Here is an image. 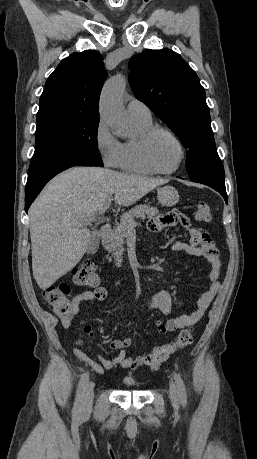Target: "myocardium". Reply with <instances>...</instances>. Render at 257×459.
<instances>
[{
    "instance_id": "myocardium-1",
    "label": "myocardium",
    "mask_w": 257,
    "mask_h": 459,
    "mask_svg": "<svg viewBox=\"0 0 257 459\" xmlns=\"http://www.w3.org/2000/svg\"><path fill=\"white\" fill-rule=\"evenodd\" d=\"M159 133H164L170 136L177 146L179 147L180 150V158L177 163V165L171 169V170H163L160 169L153 161L152 156H151V143L154 139V137L159 134ZM140 153L141 157L146 164V166L151 169L153 172L162 174V175H171L176 173L182 166L185 158H186V149L180 140V138L170 129L164 127V126H158V125H153L149 129H147L144 133H142L140 137Z\"/></svg>"
}]
</instances>
